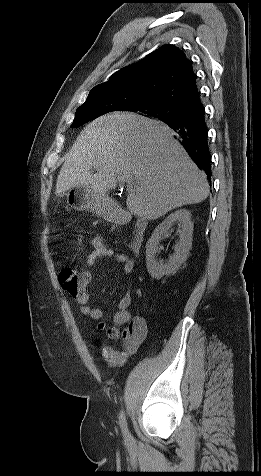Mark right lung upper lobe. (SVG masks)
<instances>
[{"label": "right lung upper lobe", "instance_id": "right-lung-upper-lobe-1", "mask_svg": "<svg viewBox=\"0 0 261 476\" xmlns=\"http://www.w3.org/2000/svg\"><path fill=\"white\" fill-rule=\"evenodd\" d=\"M107 99L122 111L154 104L185 110L200 101V93L191 62L179 48L164 45L94 87L84 104Z\"/></svg>", "mask_w": 261, "mask_h": 476}]
</instances>
